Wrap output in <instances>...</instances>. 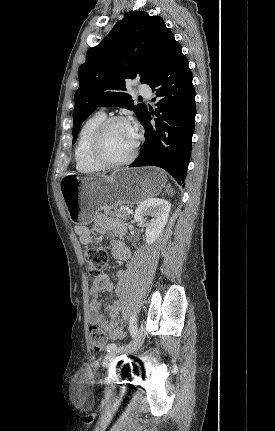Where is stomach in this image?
<instances>
[{
  "mask_svg": "<svg viewBox=\"0 0 275 431\" xmlns=\"http://www.w3.org/2000/svg\"><path fill=\"white\" fill-rule=\"evenodd\" d=\"M165 182V174L158 168H124L110 176L66 174L61 179L60 192L71 222L84 226L91 223L104 206L138 204L158 194Z\"/></svg>",
  "mask_w": 275,
  "mask_h": 431,
  "instance_id": "1",
  "label": "stomach"
}]
</instances>
